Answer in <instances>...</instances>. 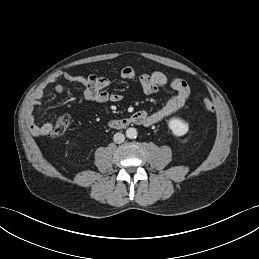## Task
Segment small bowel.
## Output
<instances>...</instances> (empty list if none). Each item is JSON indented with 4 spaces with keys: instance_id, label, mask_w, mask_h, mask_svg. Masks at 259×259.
Listing matches in <instances>:
<instances>
[{
    "instance_id": "obj_1",
    "label": "small bowel",
    "mask_w": 259,
    "mask_h": 259,
    "mask_svg": "<svg viewBox=\"0 0 259 259\" xmlns=\"http://www.w3.org/2000/svg\"><path fill=\"white\" fill-rule=\"evenodd\" d=\"M120 74L125 80H133L136 78L135 70L129 66L124 67ZM60 76L69 82L80 84L83 87V97L88 101L105 103L120 102L122 100V96L119 93L109 91L111 82L106 77L97 75L83 76L71 73H63ZM138 79L143 92L146 94H154L160 87L169 86L174 91V95L154 111L136 112L133 117L137 124L145 126L156 124L181 109L189 98V85L184 80L171 78L164 72L155 71L152 73H142ZM54 91L57 95H61L64 93L65 87L62 84H58L55 86ZM43 94V89H39L35 92L26 113V125L34 136H47L53 129L51 123L40 125L36 122L35 108L39 105Z\"/></svg>"
}]
</instances>
